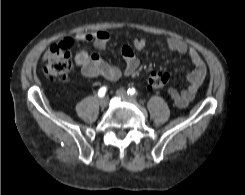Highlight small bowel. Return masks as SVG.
Wrapping results in <instances>:
<instances>
[{
    "mask_svg": "<svg viewBox=\"0 0 245 195\" xmlns=\"http://www.w3.org/2000/svg\"><path fill=\"white\" fill-rule=\"evenodd\" d=\"M110 35L106 31H93L78 33L74 42H84L93 44L96 48L103 49L107 46ZM146 40L143 38H136L133 42V47L124 46L121 49V54L125 60V67L121 70L119 67L107 63L98 54L90 53L87 50H81L76 54L75 61L81 72L86 77H103L111 81L118 80L122 75H132L139 67V60L136 57L135 50L140 51L146 47ZM165 45L171 51L179 54L188 55L191 59L194 68L187 74L186 80L188 86L177 91L175 89H168V94L172 98L177 107H186L195 97L199 87L203 83L206 74L207 66L197 50L177 38H169ZM49 56V52L45 58Z\"/></svg>",
    "mask_w": 245,
    "mask_h": 195,
    "instance_id": "small-bowel-1",
    "label": "small bowel"
}]
</instances>
